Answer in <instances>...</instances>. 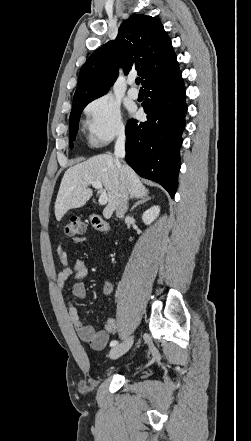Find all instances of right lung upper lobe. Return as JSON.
Here are the masks:
<instances>
[{
	"mask_svg": "<svg viewBox=\"0 0 251 441\" xmlns=\"http://www.w3.org/2000/svg\"><path fill=\"white\" fill-rule=\"evenodd\" d=\"M171 39L161 22L146 15H133L119 28L115 41L107 42L91 54L82 66L73 101L98 98L118 77L135 69L144 86L154 77L178 65Z\"/></svg>",
	"mask_w": 251,
	"mask_h": 441,
	"instance_id": "right-lung-upper-lobe-1",
	"label": "right lung upper lobe"
}]
</instances>
